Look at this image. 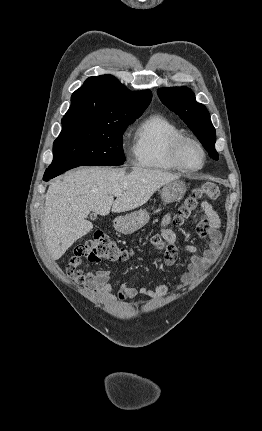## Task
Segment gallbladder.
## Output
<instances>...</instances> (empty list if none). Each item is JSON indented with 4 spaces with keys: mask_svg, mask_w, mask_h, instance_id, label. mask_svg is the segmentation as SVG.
<instances>
[{
    "mask_svg": "<svg viewBox=\"0 0 262 431\" xmlns=\"http://www.w3.org/2000/svg\"><path fill=\"white\" fill-rule=\"evenodd\" d=\"M96 216H97L96 214H91V215H90L91 219H95V218H96Z\"/></svg>",
    "mask_w": 262,
    "mask_h": 431,
    "instance_id": "bac80fb5",
    "label": "gallbladder"
}]
</instances>
